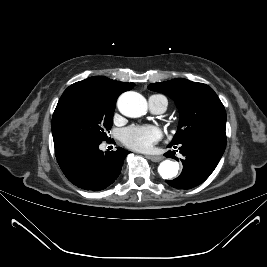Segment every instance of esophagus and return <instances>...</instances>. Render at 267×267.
Segmentation results:
<instances>
[{
	"label": "esophagus",
	"instance_id": "1",
	"mask_svg": "<svg viewBox=\"0 0 267 267\" xmlns=\"http://www.w3.org/2000/svg\"><path fill=\"white\" fill-rule=\"evenodd\" d=\"M148 158L153 162H160L163 158L161 156L149 155Z\"/></svg>",
	"mask_w": 267,
	"mask_h": 267
}]
</instances>
